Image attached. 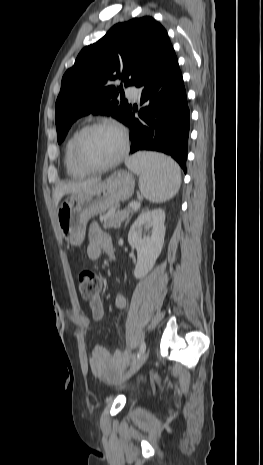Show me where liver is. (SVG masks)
<instances>
[{"instance_id": "1", "label": "liver", "mask_w": 263, "mask_h": 465, "mask_svg": "<svg viewBox=\"0 0 263 465\" xmlns=\"http://www.w3.org/2000/svg\"><path fill=\"white\" fill-rule=\"evenodd\" d=\"M100 182L101 179L96 178L81 182H73L58 185L53 192L55 206L58 207V204L64 195L85 190Z\"/></svg>"}]
</instances>
